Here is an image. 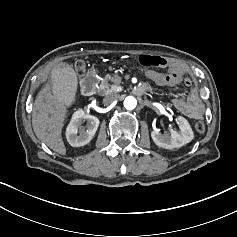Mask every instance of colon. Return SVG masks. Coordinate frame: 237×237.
<instances>
[{"label": "colon", "mask_w": 237, "mask_h": 237, "mask_svg": "<svg viewBox=\"0 0 237 237\" xmlns=\"http://www.w3.org/2000/svg\"><path fill=\"white\" fill-rule=\"evenodd\" d=\"M139 63L144 68H164L167 66V60L164 57L156 55H141L139 57ZM86 66L82 60H78L75 63V70L79 75L85 72ZM177 79L176 74L161 73L155 82L160 85H169ZM195 129L199 133H204L206 130L205 124L202 121H198L195 124Z\"/></svg>", "instance_id": "colon-1"}]
</instances>
